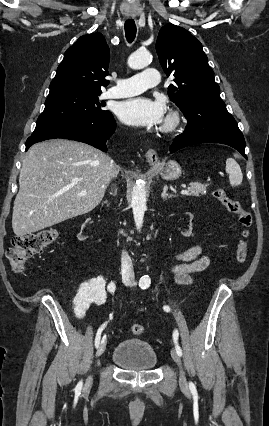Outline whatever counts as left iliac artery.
<instances>
[{
  "instance_id": "left-iliac-artery-1",
  "label": "left iliac artery",
  "mask_w": 269,
  "mask_h": 426,
  "mask_svg": "<svg viewBox=\"0 0 269 426\" xmlns=\"http://www.w3.org/2000/svg\"><path fill=\"white\" fill-rule=\"evenodd\" d=\"M150 283H151V280H150V278H149L148 275L142 276L141 279H140V281H139V286L142 289H146V288H148L150 286ZM163 309L166 312H170V307L167 306V305L163 306ZM178 336H179L178 330H174V332H173V341L175 343V349H176V352L178 353V355L182 356V349L178 345ZM189 388H190V390L192 392H196V387H195L194 383L190 382L189 383Z\"/></svg>"
}]
</instances>
